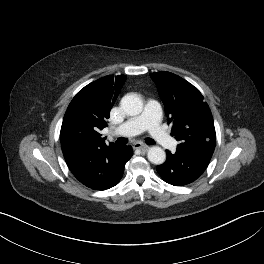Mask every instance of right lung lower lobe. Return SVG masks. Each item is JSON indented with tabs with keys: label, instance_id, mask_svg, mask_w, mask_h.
Here are the masks:
<instances>
[{
	"label": "right lung lower lobe",
	"instance_id": "obj_1",
	"mask_svg": "<svg viewBox=\"0 0 264 264\" xmlns=\"http://www.w3.org/2000/svg\"><path fill=\"white\" fill-rule=\"evenodd\" d=\"M132 154L129 146L114 144L80 148L63 153L76 179L95 190H105L117 185L123 176L124 166Z\"/></svg>",
	"mask_w": 264,
	"mask_h": 264
}]
</instances>
